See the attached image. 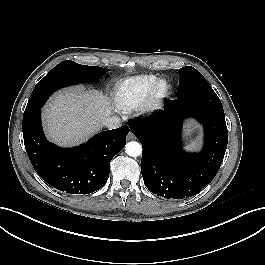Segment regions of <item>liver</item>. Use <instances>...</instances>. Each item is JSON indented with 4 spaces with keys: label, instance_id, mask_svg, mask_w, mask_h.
Returning <instances> with one entry per match:
<instances>
[{
    "label": "liver",
    "instance_id": "6515ba94",
    "mask_svg": "<svg viewBox=\"0 0 265 265\" xmlns=\"http://www.w3.org/2000/svg\"><path fill=\"white\" fill-rule=\"evenodd\" d=\"M102 92L76 86L57 92L43 109L46 134L59 146H74L98 132L112 114Z\"/></svg>",
    "mask_w": 265,
    "mask_h": 265
}]
</instances>
